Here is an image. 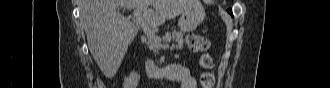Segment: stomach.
Segmentation results:
<instances>
[{"instance_id":"0dacf381","label":"stomach","mask_w":330,"mask_h":88,"mask_svg":"<svg viewBox=\"0 0 330 88\" xmlns=\"http://www.w3.org/2000/svg\"><path fill=\"white\" fill-rule=\"evenodd\" d=\"M205 18V10L198 0H193L190 9L181 14L178 25L182 32H191L202 23Z\"/></svg>"}]
</instances>
